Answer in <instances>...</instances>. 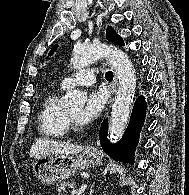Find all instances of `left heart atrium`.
I'll list each match as a JSON object with an SVG mask.
<instances>
[{"instance_id": "39dd6f15", "label": "left heart atrium", "mask_w": 189, "mask_h": 195, "mask_svg": "<svg viewBox=\"0 0 189 195\" xmlns=\"http://www.w3.org/2000/svg\"><path fill=\"white\" fill-rule=\"evenodd\" d=\"M107 101V93L104 89L92 91L87 98L85 106L77 117L80 125H86L93 122L102 112Z\"/></svg>"}]
</instances>
